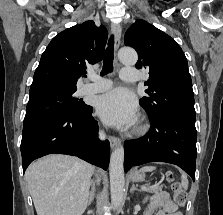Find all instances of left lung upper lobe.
Returning a JSON list of instances; mask_svg holds the SVG:
<instances>
[{
    "mask_svg": "<svg viewBox=\"0 0 223 215\" xmlns=\"http://www.w3.org/2000/svg\"><path fill=\"white\" fill-rule=\"evenodd\" d=\"M125 45L138 53L137 69H147L149 79L140 99L148 115L175 114L196 117L194 93L187 59L180 46L167 34L138 19L124 37Z\"/></svg>",
    "mask_w": 223,
    "mask_h": 215,
    "instance_id": "left-lung-upper-lobe-1",
    "label": "left lung upper lobe"
}]
</instances>
